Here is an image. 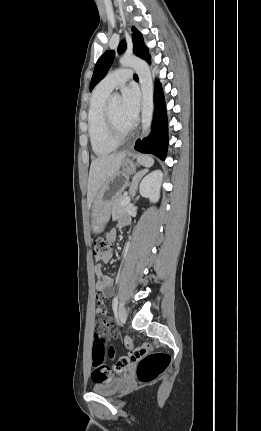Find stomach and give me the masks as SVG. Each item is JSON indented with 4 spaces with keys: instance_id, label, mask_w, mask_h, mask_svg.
<instances>
[{
    "instance_id": "obj_1",
    "label": "stomach",
    "mask_w": 261,
    "mask_h": 431,
    "mask_svg": "<svg viewBox=\"0 0 261 431\" xmlns=\"http://www.w3.org/2000/svg\"><path fill=\"white\" fill-rule=\"evenodd\" d=\"M122 169L105 183L97 193L92 212V229L101 233L110 217L113 200L128 186L129 176L136 172L137 164L130 157L123 160Z\"/></svg>"
}]
</instances>
